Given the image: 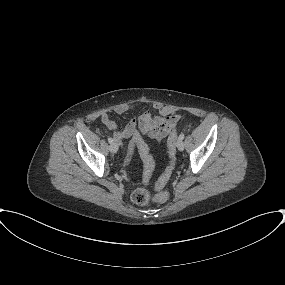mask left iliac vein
I'll use <instances>...</instances> for the list:
<instances>
[{
    "label": "left iliac vein",
    "mask_w": 285,
    "mask_h": 285,
    "mask_svg": "<svg viewBox=\"0 0 285 285\" xmlns=\"http://www.w3.org/2000/svg\"><path fill=\"white\" fill-rule=\"evenodd\" d=\"M176 146L179 151H182L184 149V142L180 138L177 140Z\"/></svg>",
    "instance_id": "4c4485c4"
}]
</instances>
